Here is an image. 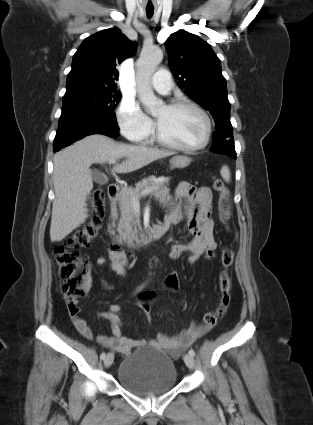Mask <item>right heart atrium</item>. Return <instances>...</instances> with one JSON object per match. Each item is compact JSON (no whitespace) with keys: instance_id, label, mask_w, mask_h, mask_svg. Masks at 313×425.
<instances>
[{"instance_id":"1","label":"right heart atrium","mask_w":313,"mask_h":425,"mask_svg":"<svg viewBox=\"0 0 313 425\" xmlns=\"http://www.w3.org/2000/svg\"><path fill=\"white\" fill-rule=\"evenodd\" d=\"M122 134L137 143L145 142L152 133V123L132 99H123L117 111Z\"/></svg>"}]
</instances>
